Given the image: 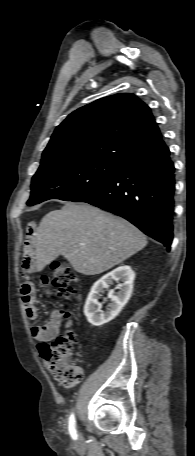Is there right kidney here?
Returning <instances> with one entry per match:
<instances>
[{
	"label": "right kidney",
	"instance_id": "1",
	"mask_svg": "<svg viewBox=\"0 0 195 456\" xmlns=\"http://www.w3.org/2000/svg\"><path fill=\"white\" fill-rule=\"evenodd\" d=\"M135 272L128 265L117 267L97 280L91 288L87 297L84 314L88 322L93 326H102L113 320L126 305L131 297ZM118 284L120 289L116 294L114 290H109L108 297L111 299L109 309L106 312L101 311L102 304L98 302L101 293L108 289L113 282Z\"/></svg>",
	"mask_w": 195,
	"mask_h": 456
}]
</instances>
